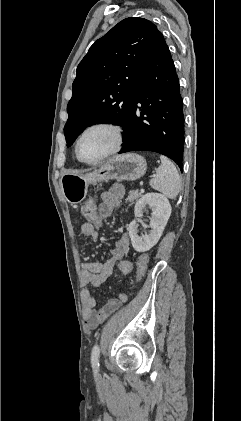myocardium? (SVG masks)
Segmentation results:
<instances>
[{
  "instance_id": "obj_1",
  "label": "myocardium",
  "mask_w": 241,
  "mask_h": 421,
  "mask_svg": "<svg viewBox=\"0 0 241 421\" xmlns=\"http://www.w3.org/2000/svg\"><path fill=\"white\" fill-rule=\"evenodd\" d=\"M99 128L107 129L113 134L114 143H113L112 147L106 153H104L102 156H100L99 158H97L95 160L88 161V160L82 159L81 156H80V153H79V145H80V142H81L82 138L89 131L94 130V129H99ZM123 141H124V133H123V129H122L121 126H119L115 123H112V122H107V121L96 122V123H93V124L87 126L78 136V138L76 140V143H75V154H76L77 159L79 161H81L82 163H85V164H88V165H96V164H99V163L103 162L104 160L108 159L109 157L113 156L117 152H119L120 149L122 148Z\"/></svg>"
}]
</instances>
